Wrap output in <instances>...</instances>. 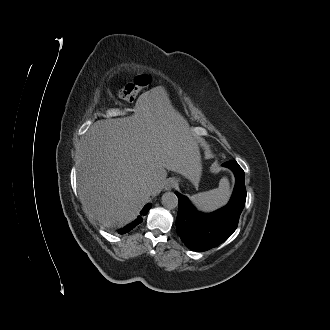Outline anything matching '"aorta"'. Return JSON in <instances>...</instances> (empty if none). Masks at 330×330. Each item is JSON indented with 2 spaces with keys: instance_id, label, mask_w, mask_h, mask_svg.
I'll list each match as a JSON object with an SVG mask.
<instances>
[{
  "instance_id": "1",
  "label": "aorta",
  "mask_w": 330,
  "mask_h": 330,
  "mask_svg": "<svg viewBox=\"0 0 330 330\" xmlns=\"http://www.w3.org/2000/svg\"><path fill=\"white\" fill-rule=\"evenodd\" d=\"M161 203L168 209H174L178 206V198L173 192H166L162 195Z\"/></svg>"
}]
</instances>
